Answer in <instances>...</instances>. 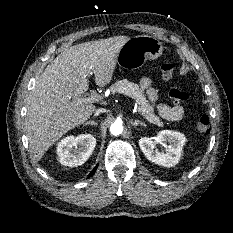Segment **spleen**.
I'll return each instance as SVG.
<instances>
[{
	"label": "spleen",
	"mask_w": 233,
	"mask_h": 233,
	"mask_svg": "<svg viewBox=\"0 0 233 233\" xmlns=\"http://www.w3.org/2000/svg\"><path fill=\"white\" fill-rule=\"evenodd\" d=\"M200 157H197L195 158L193 161H192V165H194L195 163H197L199 161Z\"/></svg>",
	"instance_id": "3e777b00"
}]
</instances>
